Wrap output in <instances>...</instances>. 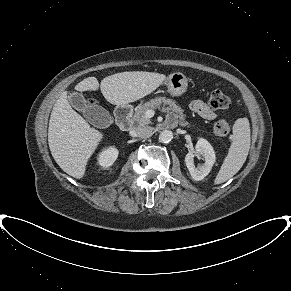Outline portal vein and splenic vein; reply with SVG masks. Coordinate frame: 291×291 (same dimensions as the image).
<instances>
[{"mask_svg":"<svg viewBox=\"0 0 291 291\" xmlns=\"http://www.w3.org/2000/svg\"><path fill=\"white\" fill-rule=\"evenodd\" d=\"M153 111H151V110H148V111H146V116H148V117H152L153 116Z\"/></svg>","mask_w":291,"mask_h":291,"instance_id":"18ae733b","label":"portal vein and splenic vein"}]
</instances>
